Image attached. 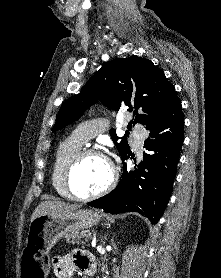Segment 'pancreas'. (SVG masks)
I'll return each mask as SVG.
<instances>
[{
	"label": "pancreas",
	"instance_id": "obj_1",
	"mask_svg": "<svg viewBox=\"0 0 221 278\" xmlns=\"http://www.w3.org/2000/svg\"><path fill=\"white\" fill-rule=\"evenodd\" d=\"M91 233L89 230H85L82 232H74L71 233L69 236H67V241L72 244H84L85 242H88L89 239H91Z\"/></svg>",
	"mask_w": 221,
	"mask_h": 278
}]
</instances>
